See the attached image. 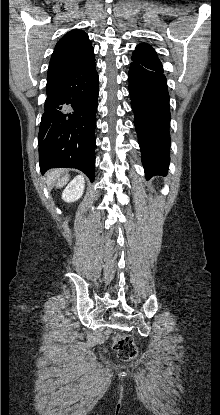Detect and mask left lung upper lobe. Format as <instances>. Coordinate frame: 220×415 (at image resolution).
<instances>
[{
	"label": "left lung upper lobe",
	"mask_w": 220,
	"mask_h": 415,
	"mask_svg": "<svg viewBox=\"0 0 220 415\" xmlns=\"http://www.w3.org/2000/svg\"><path fill=\"white\" fill-rule=\"evenodd\" d=\"M138 56V57H149V58H155L158 59L156 52L154 51V49L146 44V43H141L138 46H136L135 51L133 52V56Z\"/></svg>",
	"instance_id": "5c2ea615"
}]
</instances>
